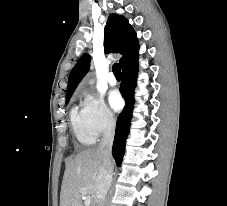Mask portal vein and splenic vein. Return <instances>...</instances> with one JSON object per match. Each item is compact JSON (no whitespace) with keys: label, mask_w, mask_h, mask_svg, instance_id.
Segmentation results:
<instances>
[{"label":"portal vein and splenic vein","mask_w":227,"mask_h":206,"mask_svg":"<svg viewBox=\"0 0 227 206\" xmlns=\"http://www.w3.org/2000/svg\"><path fill=\"white\" fill-rule=\"evenodd\" d=\"M81 191H82L83 194H87V190L86 189L83 188ZM90 203H91V198L88 197V196L85 197V201H84L85 206H89Z\"/></svg>","instance_id":"portal-vein-and-splenic-vein-1"}]
</instances>
